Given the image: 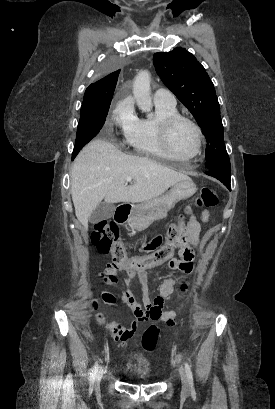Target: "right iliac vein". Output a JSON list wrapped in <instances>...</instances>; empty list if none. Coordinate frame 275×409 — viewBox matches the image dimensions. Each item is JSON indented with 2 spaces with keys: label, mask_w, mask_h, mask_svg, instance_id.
<instances>
[{
  "label": "right iliac vein",
  "mask_w": 275,
  "mask_h": 409,
  "mask_svg": "<svg viewBox=\"0 0 275 409\" xmlns=\"http://www.w3.org/2000/svg\"><path fill=\"white\" fill-rule=\"evenodd\" d=\"M102 374H103V371L101 370L100 373H99V375L97 376L96 385L99 384V382H100V380H101V378H102Z\"/></svg>",
  "instance_id": "63e3f726"
}]
</instances>
